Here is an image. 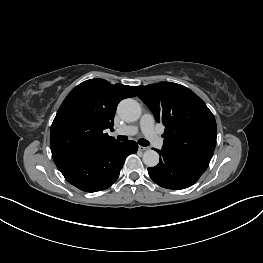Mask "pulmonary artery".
<instances>
[{
  "mask_svg": "<svg viewBox=\"0 0 263 263\" xmlns=\"http://www.w3.org/2000/svg\"><path fill=\"white\" fill-rule=\"evenodd\" d=\"M140 129L146 138L153 144V146L157 148H161L163 146V140L157 134L154 127V118L150 113H145L140 120ZM138 128L135 126H128L125 128L118 129L116 131L117 134H127L133 135L136 134Z\"/></svg>",
  "mask_w": 263,
  "mask_h": 263,
  "instance_id": "pulmonary-artery-1",
  "label": "pulmonary artery"
}]
</instances>
